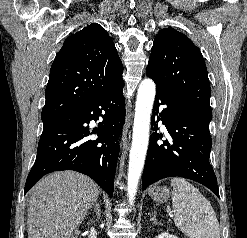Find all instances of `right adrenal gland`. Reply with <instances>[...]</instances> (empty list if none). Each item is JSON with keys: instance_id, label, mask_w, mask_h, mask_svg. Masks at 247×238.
<instances>
[{"instance_id": "1", "label": "right adrenal gland", "mask_w": 247, "mask_h": 238, "mask_svg": "<svg viewBox=\"0 0 247 238\" xmlns=\"http://www.w3.org/2000/svg\"><path fill=\"white\" fill-rule=\"evenodd\" d=\"M94 210H95V214H96V220H99L101 218V210L99 208L98 203H96ZM90 222L92 223L93 221L91 220ZM90 222H88V223H90Z\"/></svg>"}]
</instances>
